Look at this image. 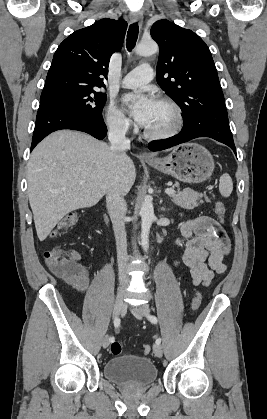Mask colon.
Masks as SVG:
<instances>
[{"label": "colon", "instance_id": "1", "mask_svg": "<svg viewBox=\"0 0 267 419\" xmlns=\"http://www.w3.org/2000/svg\"><path fill=\"white\" fill-rule=\"evenodd\" d=\"M215 214L222 221L226 216V207L223 203H217L215 206ZM79 219V215L75 212L65 215L57 226V230L53 233L56 236L62 231L69 230L74 227ZM44 258L49 268L62 277H77L84 271L83 266L79 263L80 256L74 250L64 249L60 246H54L44 253ZM202 302L201 295L196 293L192 299V309L197 310ZM122 346L119 342H113L110 346V352L113 355L121 353ZM141 352L147 355L150 352V346L144 344L141 346Z\"/></svg>", "mask_w": 267, "mask_h": 419}]
</instances>
